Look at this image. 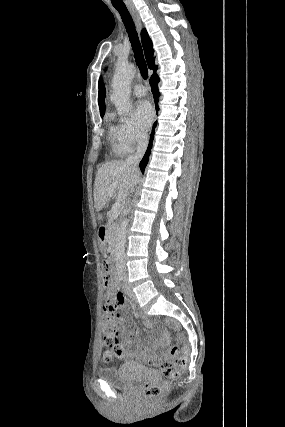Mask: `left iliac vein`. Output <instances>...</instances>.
<instances>
[{
  "label": "left iliac vein",
  "instance_id": "obj_1",
  "mask_svg": "<svg viewBox=\"0 0 285 427\" xmlns=\"http://www.w3.org/2000/svg\"><path fill=\"white\" fill-rule=\"evenodd\" d=\"M124 284H125V288H124L125 292L130 296H134V293L132 291L131 286L128 284L126 276L124 277Z\"/></svg>",
  "mask_w": 285,
  "mask_h": 427
}]
</instances>
